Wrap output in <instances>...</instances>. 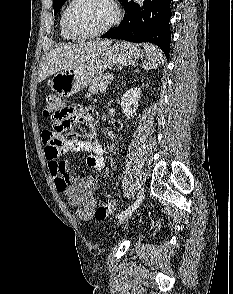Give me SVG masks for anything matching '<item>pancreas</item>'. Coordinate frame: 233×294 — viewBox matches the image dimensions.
I'll return each mask as SVG.
<instances>
[{"mask_svg": "<svg viewBox=\"0 0 233 294\" xmlns=\"http://www.w3.org/2000/svg\"><path fill=\"white\" fill-rule=\"evenodd\" d=\"M109 75L105 74L102 77H97L90 85L86 97L89 98L91 95L98 93H105L108 85L110 84Z\"/></svg>", "mask_w": 233, "mask_h": 294, "instance_id": "obj_1", "label": "pancreas"}]
</instances>
